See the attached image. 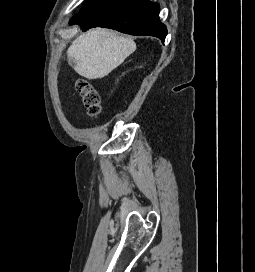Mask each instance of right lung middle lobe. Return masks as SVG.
Wrapping results in <instances>:
<instances>
[{
    "label": "right lung middle lobe",
    "instance_id": "1",
    "mask_svg": "<svg viewBox=\"0 0 255 272\" xmlns=\"http://www.w3.org/2000/svg\"><path fill=\"white\" fill-rule=\"evenodd\" d=\"M91 0H85L84 1V5L86 4V3H88V2H90Z\"/></svg>",
    "mask_w": 255,
    "mask_h": 272
}]
</instances>
